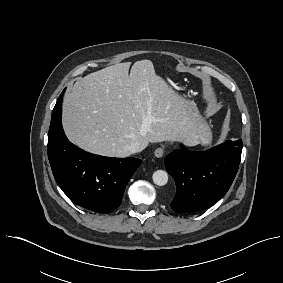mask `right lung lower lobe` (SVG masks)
I'll use <instances>...</instances> for the list:
<instances>
[{
	"instance_id": "1",
	"label": "right lung lower lobe",
	"mask_w": 283,
	"mask_h": 283,
	"mask_svg": "<svg viewBox=\"0 0 283 283\" xmlns=\"http://www.w3.org/2000/svg\"><path fill=\"white\" fill-rule=\"evenodd\" d=\"M63 93L53 109L48 134L53 175L75 203L95 212L109 213L120 205L125 187L141 160L94 155L73 145L61 123Z\"/></svg>"
}]
</instances>
